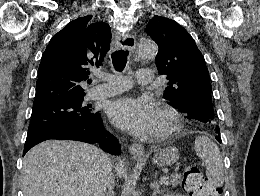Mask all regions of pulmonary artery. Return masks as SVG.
<instances>
[{"mask_svg":"<svg viewBox=\"0 0 260 196\" xmlns=\"http://www.w3.org/2000/svg\"><path fill=\"white\" fill-rule=\"evenodd\" d=\"M138 84H152L155 73L152 69H139ZM130 80L129 76H115L113 81H109V85H99L88 89L87 98L95 100L99 98L109 97L125 90H132V85L127 84Z\"/></svg>","mask_w":260,"mask_h":196,"instance_id":"1","label":"pulmonary artery"}]
</instances>
